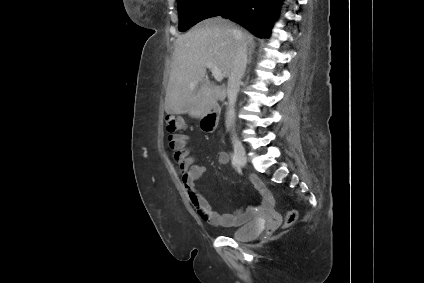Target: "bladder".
<instances>
[{
    "label": "bladder",
    "mask_w": 424,
    "mask_h": 283,
    "mask_svg": "<svg viewBox=\"0 0 424 283\" xmlns=\"http://www.w3.org/2000/svg\"><path fill=\"white\" fill-rule=\"evenodd\" d=\"M262 230L263 222L258 218H254L240 228L234 230L231 233V237L237 241H249L258 237Z\"/></svg>",
    "instance_id": "31cf9c89"
}]
</instances>
